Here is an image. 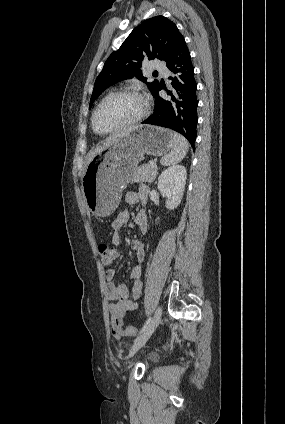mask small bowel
<instances>
[{
	"label": "small bowel",
	"mask_w": 285,
	"mask_h": 424,
	"mask_svg": "<svg viewBox=\"0 0 285 424\" xmlns=\"http://www.w3.org/2000/svg\"><path fill=\"white\" fill-rule=\"evenodd\" d=\"M148 187L141 185L136 192L129 193L125 201L128 204L143 203L148 194ZM130 211L123 210L112 221L111 227L113 229L112 242L114 245L121 243V230L130 220ZM134 223L138 226L141 233H146L148 229V218L144 211H140L134 218ZM132 251L135 253L137 264L132 268L130 276L132 279V288L129 291L124 283H115L117 271L113 268L108 269L106 272V296L110 300L109 311L111 313V333L115 338H121L126 335H131L126 331L123 318L125 314L137 307L136 301L141 295L142 291V262L145 259V248L141 240L133 239L130 243ZM114 318L119 321V327H115Z\"/></svg>",
	"instance_id": "small-bowel-1"
}]
</instances>
